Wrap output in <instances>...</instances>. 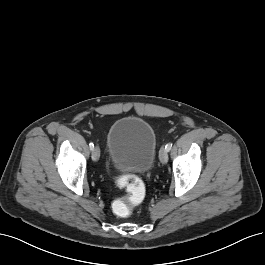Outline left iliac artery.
<instances>
[{
  "label": "left iliac artery",
  "instance_id": "44dca946",
  "mask_svg": "<svg viewBox=\"0 0 265 265\" xmlns=\"http://www.w3.org/2000/svg\"><path fill=\"white\" fill-rule=\"evenodd\" d=\"M172 148V143H168L166 146H165V149L167 150V152H169Z\"/></svg>",
  "mask_w": 265,
  "mask_h": 265
}]
</instances>
